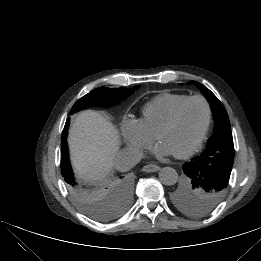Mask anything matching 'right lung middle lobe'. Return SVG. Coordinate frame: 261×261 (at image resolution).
I'll return each instance as SVG.
<instances>
[{"label": "right lung middle lobe", "instance_id": "right-lung-middle-lobe-1", "mask_svg": "<svg viewBox=\"0 0 261 261\" xmlns=\"http://www.w3.org/2000/svg\"><path fill=\"white\" fill-rule=\"evenodd\" d=\"M138 87L139 86H135L133 89L107 87L96 88L79 99L72 107L71 112L74 113L92 105H100L102 107L116 105L131 95ZM61 173L67 183L70 194L78 207L93 219L102 221L108 220L112 217V214L104 209V203L116 191V188L118 189L117 191L122 193L123 197L128 196V190L123 186H117L114 190L112 188L103 187L86 188L78 184L74 179L72 169L63 170L61 168Z\"/></svg>", "mask_w": 261, "mask_h": 261}]
</instances>
